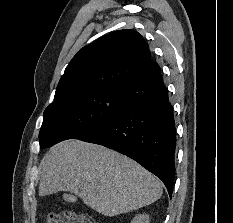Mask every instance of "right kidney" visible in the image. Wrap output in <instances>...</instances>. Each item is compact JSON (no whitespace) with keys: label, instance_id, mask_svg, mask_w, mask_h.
Segmentation results:
<instances>
[{"label":"right kidney","instance_id":"ca27d5eb","mask_svg":"<svg viewBox=\"0 0 233 223\" xmlns=\"http://www.w3.org/2000/svg\"><path fill=\"white\" fill-rule=\"evenodd\" d=\"M131 223H150L149 215H146V213H140V215H135Z\"/></svg>","mask_w":233,"mask_h":223}]
</instances>
